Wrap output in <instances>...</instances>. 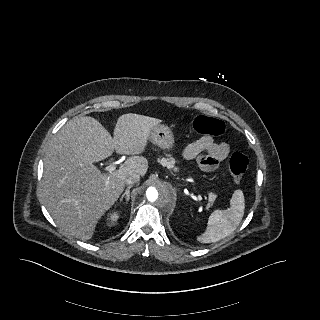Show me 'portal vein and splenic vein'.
<instances>
[{
	"instance_id": "1",
	"label": "portal vein and splenic vein",
	"mask_w": 320,
	"mask_h": 320,
	"mask_svg": "<svg viewBox=\"0 0 320 320\" xmlns=\"http://www.w3.org/2000/svg\"><path fill=\"white\" fill-rule=\"evenodd\" d=\"M115 169H116L115 163L110 164V165L106 168V170H107L108 172H113V171H115ZM200 200H201V199H200Z\"/></svg>"
}]
</instances>
